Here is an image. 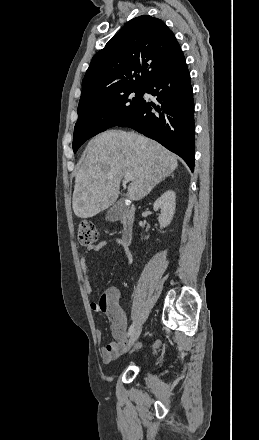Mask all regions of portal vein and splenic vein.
<instances>
[{
    "mask_svg": "<svg viewBox=\"0 0 259 440\" xmlns=\"http://www.w3.org/2000/svg\"><path fill=\"white\" fill-rule=\"evenodd\" d=\"M124 177L126 181H131L133 179L131 174H126Z\"/></svg>",
    "mask_w": 259,
    "mask_h": 440,
    "instance_id": "portal-vein-and-splenic-vein-1",
    "label": "portal vein and splenic vein"
}]
</instances>
